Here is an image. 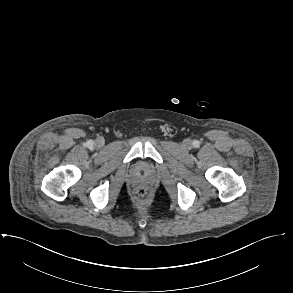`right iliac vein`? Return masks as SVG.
<instances>
[{
    "mask_svg": "<svg viewBox=\"0 0 293 293\" xmlns=\"http://www.w3.org/2000/svg\"><path fill=\"white\" fill-rule=\"evenodd\" d=\"M103 145H104V141H103V139H97V140H96V142H95V146H96L97 148H101V147H103Z\"/></svg>",
    "mask_w": 293,
    "mask_h": 293,
    "instance_id": "1",
    "label": "right iliac vein"
}]
</instances>
